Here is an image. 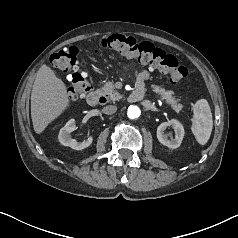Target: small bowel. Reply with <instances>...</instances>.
<instances>
[{"instance_id":"obj_1","label":"small bowel","mask_w":238,"mask_h":238,"mask_svg":"<svg viewBox=\"0 0 238 238\" xmlns=\"http://www.w3.org/2000/svg\"><path fill=\"white\" fill-rule=\"evenodd\" d=\"M151 68L149 70H144L142 72H140L137 76V86L141 85L144 87V84L146 81H148L150 79L151 76Z\"/></svg>"}]
</instances>
